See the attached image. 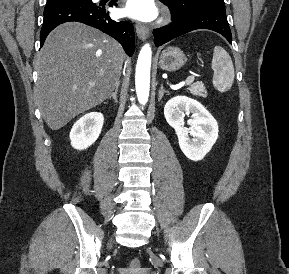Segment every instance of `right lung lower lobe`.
I'll list each match as a JSON object with an SVG mask.
<instances>
[{"instance_id": "1", "label": "right lung lower lobe", "mask_w": 289, "mask_h": 274, "mask_svg": "<svg viewBox=\"0 0 289 274\" xmlns=\"http://www.w3.org/2000/svg\"><path fill=\"white\" fill-rule=\"evenodd\" d=\"M117 0H112L109 6H117ZM77 21L95 27L115 38L132 56L134 52L135 34L133 26L128 21L112 20L104 4H97L92 0H66L47 4L44 9V21L40 34V47L43 46L47 35L58 25Z\"/></svg>"}]
</instances>
